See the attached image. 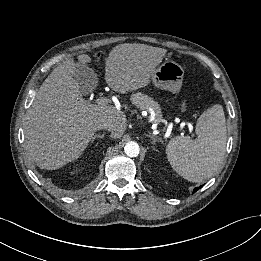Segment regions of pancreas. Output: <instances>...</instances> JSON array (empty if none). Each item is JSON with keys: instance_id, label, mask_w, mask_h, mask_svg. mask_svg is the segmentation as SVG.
Instances as JSON below:
<instances>
[{"instance_id": "1", "label": "pancreas", "mask_w": 261, "mask_h": 261, "mask_svg": "<svg viewBox=\"0 0 261 261\" xmlns=\"http://www.w3.org/2000/svg\"><path fill=\"white\" fill-rule=\"evenodd\" d=\"M130 100L136 107L140 109L151 108L154 112V116H149L150 120L153 118L152 121L159 122L162 119L161 108L159 104L150 96L141 92H136L131 95Z\"/></svg>"}]
</instances>
